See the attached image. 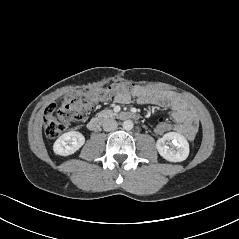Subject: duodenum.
Listing matches in <instances>:
<instances>
[{"instance_id": "410a0bca", "label": "duodenum", "mask_w": 239, "mask_h": 239, "mask_svg": "<svg viewBox=\"0 0 239 239\" xmlns=\"http://www.w3.org/2000/svg\"><path fill=\"white\" fill-rule=\"evenodd\" d=\"M108 118H116V119H120V120H135L138 118V116L135 113L129 112V111L100 114V115L93 117L88 122L87 127L91 131H96L100 128L102 123Z\"/></svg>"}]
</instances>
